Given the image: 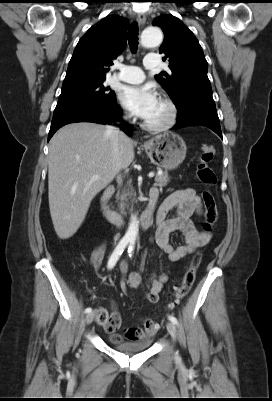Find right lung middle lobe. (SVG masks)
Instances as JSON below:
<instances>
[{
    "label": "right lung middle lobe",
    "mask_w": 272,
    "mask_h": 401,
    "mask_svg": "<svg viewBox=\"0 0 272 401\" xmlns=\"http://www.w3.org/2000/svg\"><path fill=\"white\" fill-rule=\"evenodd\" d=\"M104 80L62 90L54 115L79 107L106 108L116 101L114 91L103 85Z\"/></svg>",
    "instance_id": "1"
}]
</instances>
